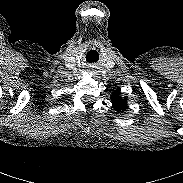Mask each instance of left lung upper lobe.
I'll list each match as a JSON object with an SVG mask.
<instances>
[{
    "instance_id": "obj_1",
    "label": "left lung upper lobe",
    "mask_w": 183,
    "mask_h": 183,
    "mask_svg": "<svg viewBox=\"0 0 183 183\" xmlns=\"http://www.w3.org/2000/svg\"><path fill=\"white\" fill-rule=\"evenodd\" d=\"M111 100L115 111L122 112L127 109V98L120 96V89L112 94Z\"/></svg>"
}]
</instances>
